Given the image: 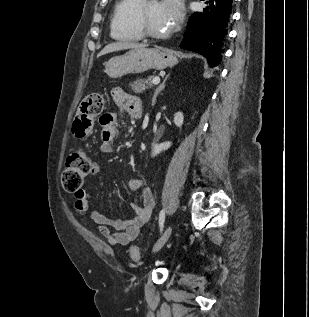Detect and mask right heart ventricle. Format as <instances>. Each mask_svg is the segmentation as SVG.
I'll return each instance as SVG.
<instances>
[{"instance_id": "e07e8e85", "label": "right heart ventricle", "mask_w": 309, "mask_h": 317, "mask_svg": "<svg viewBox=\"0 0 309 317\" xmlns=\"http://www.w3.org/2000/svg\"><path fill=\"white\" fill-rule=\"evenodd\" d=\"M144 0H118L114 7L110 29L113 38L120 41H138L143 34L138 27V11Z\"/></svg>"}]
</instances>
